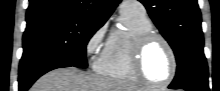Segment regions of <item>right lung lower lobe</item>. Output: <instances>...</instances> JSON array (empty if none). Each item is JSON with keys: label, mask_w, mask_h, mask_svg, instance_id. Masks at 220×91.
Here are the masks:
<instances>
[{"label": "right lung lower lobe", "mask_w": 220, "mask_h": 91, "mask_svg": "<svg viewBox=\"0 0 220 91\" xmlns=\"http://www.w3.org/2000/svg\"><path fill=\"white\" fill-rule=\"evenodd\" d=\"M73 66L70 63L60 61V60H53L43 62L24 73H19V91H27L30 86L43 74L46 72L62 67H71Z\"/></svg>", "instance_id": "98d812e1"}]
</instances>
